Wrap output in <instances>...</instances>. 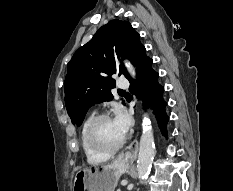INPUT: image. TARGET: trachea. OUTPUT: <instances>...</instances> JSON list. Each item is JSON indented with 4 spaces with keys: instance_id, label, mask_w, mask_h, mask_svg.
I'll return each mask as SVG.
<instances>
[{
    "instance_id": "trachea-1",
    "label": "trachea",
    "mask_w": 233,
    "mask_h": 191,
    "mask_svg": "<svg viewBox=\"0 0 233 191\" xmlns=\"http://www.w3.org/2000/svg\"><path fill=\"white\" fill-rule=\"evenodd\" d=\"M120 92H124V90H120Z\"/></svg>"
}]
</instances>
